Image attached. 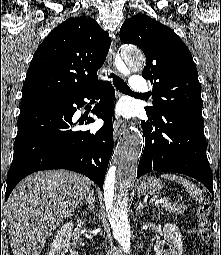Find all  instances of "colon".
Listing matches in <instances>:
<instances>
[{
	"label": "colon",
	"instance_id": "1",
	"mask_svg": "<svg viewBox=\"0 0 221 255\" xmlns=\"http://www.w3.org/2000/svg\"><path fill=\"white\" fill-rule=\"evenodd\" d=\"M211 207L208 202H203L197 211V227L198 236L203 244L208 243L211 240L212 229L210 223ZM199 255H207L203 250Z\"/></svg>",
	"mask_w": 221,
	"mask_h": 255
}]
</instances>
